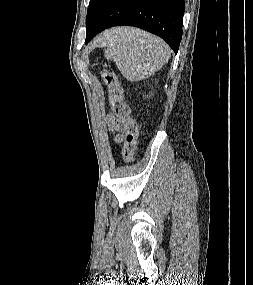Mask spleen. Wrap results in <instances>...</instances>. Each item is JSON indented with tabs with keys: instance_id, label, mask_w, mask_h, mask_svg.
Wrapping results in <instances>:
<instances>
[{
	"instance_id": "1",
	"label": "spleen",
	"mask_w": 253,
	"mask_h": 285,
	"mask_svg": "<svg viewBox=\"0 0 253 285\" xmlns=\"http://www.w3.org/2000/svg\"><path fill=\"white\" fill-rule=\"evenodd\" d=\"M102 43L107 60H113L121 74L131 82L152 76L171 55L169 46L159 37L136 28H119L106 35Z\"/></svg>"
}]
</instances>
